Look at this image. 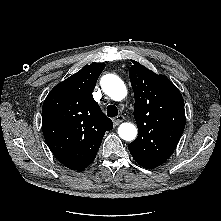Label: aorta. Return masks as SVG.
<instances>
[{
	"mask_svg": "<svg viewBox=\"0 0 221 221\" xmlns=\"http://www.w3.org/2000/svg\"><path fill=\"white\" fill-rule=\"evenodd\" d=\"M102 90L111 99L121 101L127 95V89L120 77L114 74H106L101 79ZM120 138L133 141L137 136V128L131 123H122L118 128Z\"/></svg>",
	"mask_w": 221,
	"mask_h": 221,
	"instance_id": "obj_1",
	"label": "aorta"
}]
</instances>
